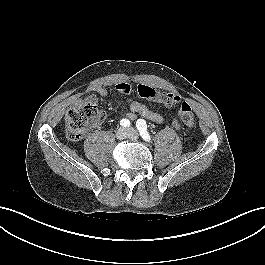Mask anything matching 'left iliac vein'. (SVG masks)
Returning <instances> with one entry per match:
<instances>
[{
    "instance_id": "1",
    "label": "left iliac vein",
    "mask_w": 265,
    "mask_h": 265,
    "mask_svg": "<svg viewBox=\"0 0 265 265\" xmlns=\"http://www.w3.org/2000/svg\"><path fill=\"white\" fill-rule=\"evenodd\" d=\"M128 133H129V136H135L136 135V131L133 129V128H129L127 129Z\"/></svg>"
}]
</instances>
